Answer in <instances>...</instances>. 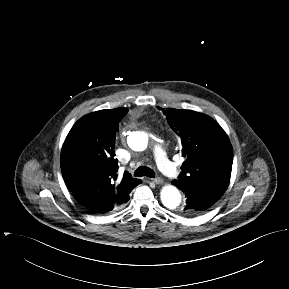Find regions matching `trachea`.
Masks as SVG:
<instances>
[{
  "label": "trachea",
  "instance_id": "obj_1",
  "mask_svg": "<svg viewBox=\"0 0 289 289\" xmlns=\"http://www.w3.org/2000/svg\"><path fill=\"white\" fill-rule=\"evenodd\" d=\"M135 176H138V177L146 176V177L152 178L155 176V174L151 168L146 167V166H140L136 169Z\"/></svg>",
  "mask_w": 289,
  "mask_h": 289
}]
</instances>
